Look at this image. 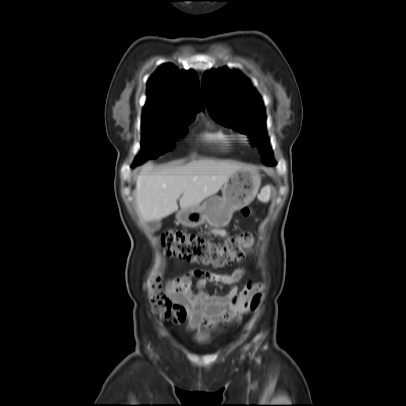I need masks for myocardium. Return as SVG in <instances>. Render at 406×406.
I'll return each instance as SVG.
<instances>
[{
	"label": "myocardium",
	"mask_w": 406,
	"mask_h": 406,
	"mask_svg": "<svg viewBox=\"0 0 406 406\" xmlns=\"http://www.w3.org/2000/svg\"><path fill=\"white\" fill-rule=\"evenodd\" d=\"M239 139L243 142H247L248 141V136L245 134H241L239 135Z\"/></svg>",
	"instance_id": "myocardium-1"
}]
</instances>
